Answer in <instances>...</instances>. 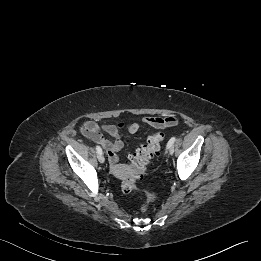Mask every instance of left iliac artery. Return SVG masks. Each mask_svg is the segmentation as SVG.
Returning <instances> with one entry per match:
<instances>
[{
  "label": "left iliac artery",
  "instance_id": "1",
  "mask_svg": "<svg viewBox=\"0 0 261 261\" xmlns=\"http://www.w3.org/2000/svg\"><path fill=\"white\" fill-rule=\"evenodd\" d=\"M175 140H176V138H175V137H172V138L168 141V143H167V148H169L170 146H172V145L174 144Z\"/></svg>",
  "mask_w": 261,
  "mask_h": 261
}]
</instances>
